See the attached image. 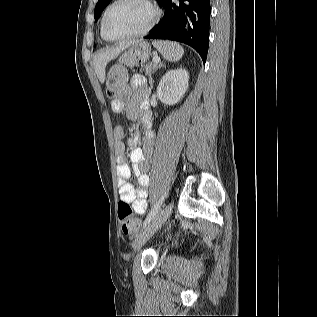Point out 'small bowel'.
I'll return each instance as SVG.
<instances>
[{
    "mask_svg": "<svg viewBox=\"0 0 317 317\" xmlns=\"http://www.w3.org/2000/svg\"><path fill=\"white\" fill-rule=\"evenodd\" d=\"M131 96L127 102L120 99L111 101V109L117 114L125 113L131 120H139L143 126L144 142L142 148L135 147L139 135H132L125 139L122 126H116L113 130L114 150L116 154L117 175L119 177V194L122 201L132 205L135 213L144 214L147 208V196L149 187L148 171L150 164L145 156L153 153L154 133L151 130L150 115L148 113V90L146 81L141 75H134L130 81ZM126 147H132L129 166L125 158ZM132 172L137 176V186L127 182Z\"/></svg>",
    "mask_w": 317,
    "mask_h": 317,
    "instance_id": "c3829d8e",
    "label": "small bowel"
}]
</instances>
